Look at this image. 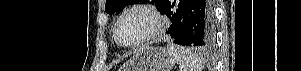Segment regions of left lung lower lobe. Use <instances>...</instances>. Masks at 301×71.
Listing matches in <instances>:
<instances>
[{"label": "left lung lower lobe", "mask_w": 301, "mask_h": 71, "mask_svg": "<svg viewBox=\"0 0 301 71\" xmlns=\"http://www.w3.org/2000/svg\"><path fill=\"white\" fill-rule=\"evenodd\" d=\"M161 12L172 22L167 33L174 43L197 48L213 45L215 30L211 0H167Z\"/></svg>", "instance_id": "left-lung-lower-lobe-1"}]
</instances>
